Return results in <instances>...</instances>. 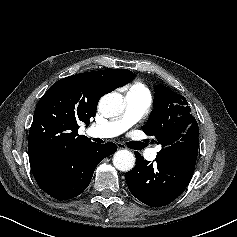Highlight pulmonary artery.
<instances>
[{
    "label": "pulmonary artery",
    "mask_w": 237,
    "mask_h": 237,
    "mask_svg": "<svg viewBox=\"0 0 237 237\" xmlns=\"http://www.w3.org/2000/svg\"><path fill=\"white\" fill-rule=\"evenodd\" d=\"M125 111L122 116L105 124L92 125L88 134L96 138H112L121 135L145 114L151 104V96L146 93L129 91L125 96ZM159 147L145 153L149 160L156 158Z\"/></svg>",
    "instance_id": "1"
}]
</instances>
